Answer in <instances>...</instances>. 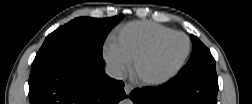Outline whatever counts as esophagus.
Wrapping results in <instances>:
<instances>
[{"mask_svg":"<svg viewBox=\"0 0 252 104\" xmlns=\"http://www.w3.org/2000/svg\"><path fill=\"white\" fill-rule=\"evenodd\" d=\"M124 89H125V92L127 94H129L133 89V85H131L130 83H126L125 86H124Z\"/></svg>","mask_w":252,"mask_h":104,"instance_id":"esophagus-1","label":"esophagus"}]
</instances>
